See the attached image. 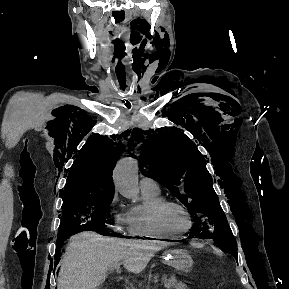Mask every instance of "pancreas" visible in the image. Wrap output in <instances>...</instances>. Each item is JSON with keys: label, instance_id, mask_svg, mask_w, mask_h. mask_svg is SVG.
Masks as SVG:
<instances>
[{"label": "pancreas", "instance_id": "obj_1", "mask_svg": "<svg viewBox=\"0 0 289 289\" xmlns=\"http://www.w3.org/2000/svg\"><path fill=\"white\" fill-rule=\"evenodd\" d=\"M162 282H164V285L168 284L173 289H187V286L183 282H178L174 276H171L169 278L163 276Z\"/></svg>", "mask_w": 289, "mask_h": 289}]
</instances>
